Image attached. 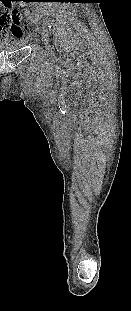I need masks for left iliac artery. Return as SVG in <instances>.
I'll return each instance as SVG.
<instances>
[{
  "instance_id": "obj_1",
  "label": "left iliac artery",
  "mask_w": 131,
  "mask_h": 311,
  "mask_svg": "<svg viewBox=\"0 0 131 311\" xmlns=\"http://www.w3.org/2000/svg\"><path fill=\"white\" fill-rule=\"evenodd\" d=\"M44 23H45V25H46L48 28L51 29V27H52V21H51L50 19H46V20L44 21Z\"/></svg>"
}]
</instances>
